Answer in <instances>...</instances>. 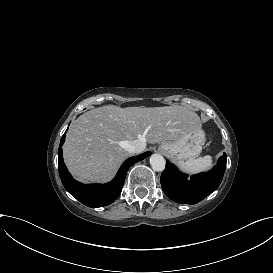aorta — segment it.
I'll return each instance as SVG.
<instances>
[{"mask_svg":"<svg viewBox=\"0 0 273 273\" xmlns=\"http://www.w3.org/2000/svg\"><path fill=\"white\" fill-rule=\"evenodd\" d=\"M166 161L160 154H152L150 156V165L154 171L161 172L165 169Z\"/></svg>","mask_w":273,"mask_h":273,"instance_id":"obj_1","label":"aorta"}]
</instances>
